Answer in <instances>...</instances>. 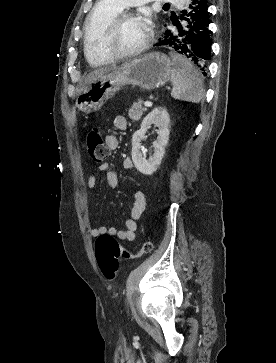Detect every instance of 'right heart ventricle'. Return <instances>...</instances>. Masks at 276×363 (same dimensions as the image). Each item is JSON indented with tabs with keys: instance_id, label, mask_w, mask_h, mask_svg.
I'll use <instances>...</instances> for the list:
<instances>
[{
	"instance_id": "obj_1",
	"label": "right heart ventricle",
	"mask_w": 276,
	"mask_h": 363,
	"mask_svg": "<svg viewBox=\"0 0 276 363\" xmlns=\"http://www.w3.org/2000/svg\"><path fill=\"white\" fill-rule=\"evenodd\" d=\"M121 11L110 0H100L87 18L84 50L87 60L95 66L110 64L113 59L104 51L102 36L107 24Z\"/></svg>"
}]
</instances>
